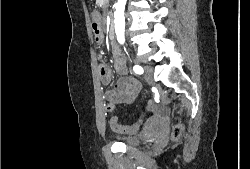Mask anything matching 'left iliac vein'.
I'll list each match as a JSON object with an SVG mask.
<instances>
[{
	"label": "left iliac vein",
	"mask_w": 250,
	"mask_h": 169,
	"mask_svg": "<svg viewBox=\"0 0 250 169\" xmlns=\"http://www.w3.org/2000/svg\"><path fill=\"white\" fill-rule=\"evenodd\" d=\"M154 69L151 66H145L144 67V78L148 84L154 83Z\"/></svg>",
	"instance_id": "4c4485c4"
}]
</instances>
